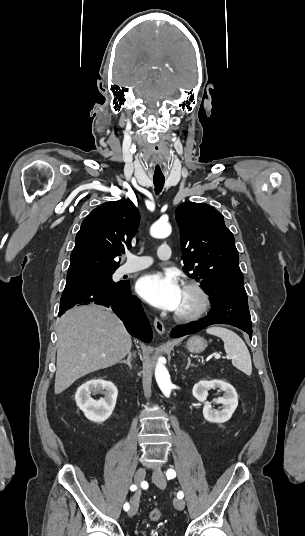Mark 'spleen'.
Returning a JSON list of instances; mask_svg holds the SVG:
<instances>
[{
    "label": "spleen",
    "instance_id": "obj_1",
    "mask_svg": "<svg viewBox=\"0 0 305 536\" xmlns=\"http://www.w3.org/2000/svg\"><path fill=\"white\" fill-rule=\"evenodd\" d=\"M206 332L207 334H212V336L221 338L224 342V350L230 360H232L233 366L238 368V370H241V372H244L246 376H251V356L246 344H244L243 340H241L237 334H234L231 330H226V328H219V326H215V328H207Z\"/></svg>",
    "mask_w": 305,
    "mask_h": 536
}]
</instances>
